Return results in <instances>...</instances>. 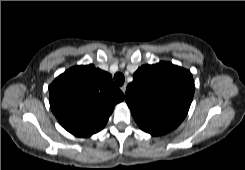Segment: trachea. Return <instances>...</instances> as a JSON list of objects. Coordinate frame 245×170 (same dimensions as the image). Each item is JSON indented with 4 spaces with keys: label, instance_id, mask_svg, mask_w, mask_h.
<instances>
[{
    "label": "trachea",
    "instance_id": "3493384b",
    "mask_svg": "<svg viewBox=\"0 0 245 170\" xmlns=\"http://www.w3.org/2000/svg\"><path fill=\"white\" fill-rule=\"evenodd\" d=\"M125 77L122 73H116L114 75V82L117 86H122L124 84Z\"/></svg>",
    "mask_w": 245,
    "mask_h": 170
}]
</instances>
